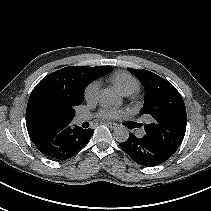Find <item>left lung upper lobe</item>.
Listing matches in <instances>:
<instances>
[{"label":"left lung upper lobe","instance_id":"left-lung-upper-lobe-1","mask_svg":"<svg viewBox=\"0 0 211 211\" xmlns=\"http://www.w3.org/2000/svg\"><path fill=\"white\" fill-rule=\"evenodd\" d=\"M144 85L145 101L140 114H149L146 136L171 153L180 146L186 131L187 115L182 96L167 80L148 70L128 69Z\"/></svg>","mask_w":211,"mask_h":211}]
</instances>
